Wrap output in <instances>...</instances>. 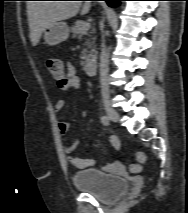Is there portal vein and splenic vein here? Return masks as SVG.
I'll return each mask as SVG.
<instances>
[{
	"mask_svg": "<svg viewBox=\"0 0 188 213\" xmlns=\"http://www.w3.org/2000/svg\"><path fill=\"white\" fill-rule=\"evenodd\" d=\"M90 28V23H85L82 27V31L85 32Z\"/></svg>",
	"mask_w": 188,
	"mask_h": 213,
	"instance_id": "obj_1",
	"label": "portal vein and splenic vein"
}]
</instances>
